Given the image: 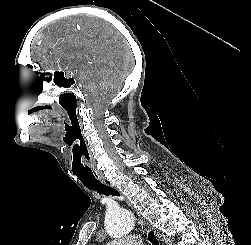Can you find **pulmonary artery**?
I'll return each instance as SVG.
<instances>
[{"mask_svg": "<svg viewBox=\"0 0 251 245\" xmlns=\"http://www.w3.org/2000/svg\"><path fill=\"white\" fill-rule=\"evenodd\" d=\"M142 239L140 236L133 235L123 240H113L107 245H141Z\"/></svg>", "mask_w": 251, "mask_h": 245, "instance_id": "e3ab8cb5", "label": "pulmonary artery"}]
</instances>
